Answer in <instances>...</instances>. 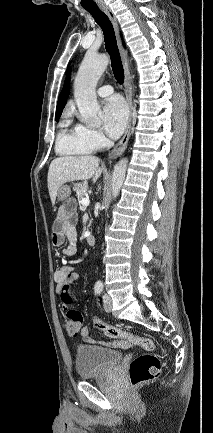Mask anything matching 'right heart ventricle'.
Instances as JSON below:
<instances>
[{
    "mask_svg": "<svg viewBox=\"0 0 213 433\" xmlns=\"http://www.w3.org/2000/svg\"><path fill=\"white\" fill-rule=\"evenodd\" d=\"M95 150L81 125H71L65 120L58 133L56 151L61 155H87Z\"/></svg>",
    "mask_w": 213,
    "mask_h": 433,
    "instance_id": "e07e8e85",
    "label": "right heart ventricle"
}]
</instances>
